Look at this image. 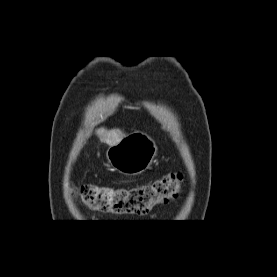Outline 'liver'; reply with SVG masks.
Here are the masks:
<instances>
[{"label": "liver", "mask_w": 277, "mask_h": 277, "mask_svg": "<svg viewBox=\"0 0 277 277\" xmlns=\"http://www.w3.org/2000/svg\"><path fill=\"white\" fill-rule=\"evenodd\" d=\"M96 135L99 137L100 141L108 144L109 146H114L118 144L126 134L120 129L107 130L105 128H99L96 130Z\"/></svg>", "instance_id": "1"}]
</instances>
